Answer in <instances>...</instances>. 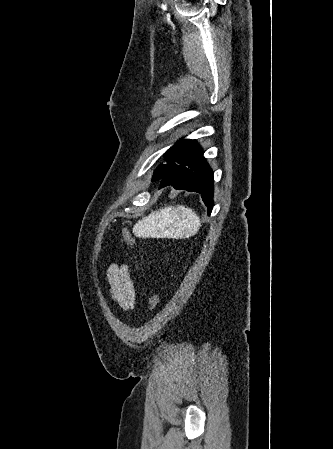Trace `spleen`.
Here are the masks:
<instances>
[{"label": "spleen", "mask_w": 333, "mask_h": 449, "mask_svg": "<svg viewBox=\"0 0 333 449\" xmlns=\"http://www.w3.org/2000/svg\"><path fill=\"white\" fill-rule=\"evenodd\" d=\"M201 226L199 216L190 208L177 205L152 211L134 226V233L142 238H188Z\"/></svg>", "instance_id": "obj_1"}]
</instances>
